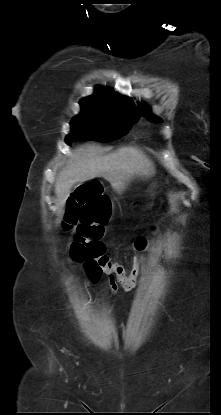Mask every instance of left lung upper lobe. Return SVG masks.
<instances>
[{"mask_svg":"<svg viewBox=\"0 0 221 415\" xmlns=\"http://www.w3.org/2000/svg\"><path fill=\"white\" fill-rule=\"evenodd\" d=\"M140 109H141L142 115L145 118H147L149 121L154 122V123L160 121L158 118H156L154 115L151 114L148 108L140 107Z\"/></svg>","mask_w":221,"mask_h":415,"instance_id":"1","label":"left lung upper lobe"}]
</instances>
